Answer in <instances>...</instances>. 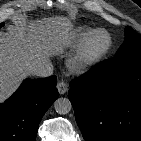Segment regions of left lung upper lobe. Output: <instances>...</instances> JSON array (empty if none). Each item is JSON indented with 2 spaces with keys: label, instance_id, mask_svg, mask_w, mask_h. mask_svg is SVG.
<instances>
[{
  "label": "left lung upper lobe",
  "instance_id": "left-lung-upper-lobe-1",
  "mask_svg": "<svg viewBox=\"0 0 141 141\" xmlns=\"http://www.w3.org/2000/svg\"><path fill=\"white\" fill-rule=\"evenodd\" d=\"M141 53V36L130 27H126L125 41L120 46L114 58Z\"/></svg>",
  "mask_w": 141,
  "mask_h": 141
}]
</instances>
